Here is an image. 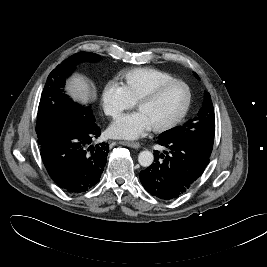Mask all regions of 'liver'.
<instances>
[{"label": "liver", "instance_id": "obj_1", "mask_svg": "<svg viewBox=\"0 0 267 267\" xmlns=\"http://www.w3.org/2000/svg\"><path fill=\"white\" fill-rule=\"evenodd\" d=\"M69 94L77 101L86 103L94 97L90 83L83 76H74L67 84Z\"/></svg>", "mask_w": 267, "mask_h": 267}]
</instances>
